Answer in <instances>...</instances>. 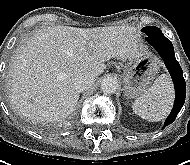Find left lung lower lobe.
<instances>
[{
  "instance_id": "1",
  "label": "left lung lower lobe",
  "mask_w": 190,
  "mask_h": 165,
  "mask_svg": "<svg viewBox=\"0 0 190 165\" xmlns=\"http://www.w3.org/2000/svg\"><path fill=\"white\" fill-rule=\"evenodd\" d=\"M160 54L167 69L170 72L175 87V102L170 115L167 117L163 126L171 124L178 112H180L185 102L186 84L183 78V71L175 58L174 48L172 43L164 36L158 35L147 40Z\"/></svg>"
}]
</instances>
